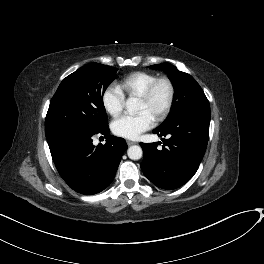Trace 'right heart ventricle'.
Returning a JSON list of instances; mask_svg holds the SVG:
<instances>
[{
  "instance_id": "1",
  "label": "right heart ventricle",
  "mask_w": 264,
  "mask_h": 264,
  "mask_svg": "<svg viewBox=\"0 0 264 264\" xmlns=\"http://www.w3.org/2000/svg\"><path fill=\"white\" fill-rule=\"evenodd\" d=\"M158 76L144 71L133 72L119 83L120 90L130 97H139Z\"/></svg>"
}]
</instances>
